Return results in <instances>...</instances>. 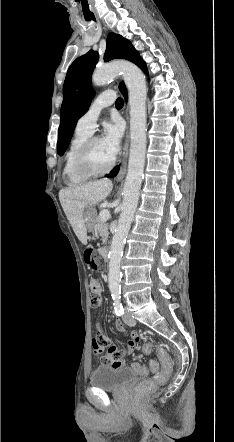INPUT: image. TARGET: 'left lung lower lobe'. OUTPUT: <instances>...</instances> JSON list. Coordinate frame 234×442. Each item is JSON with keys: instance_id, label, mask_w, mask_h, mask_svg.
<instances>
[{"instance_id": "1", "label": "left lung lower lobe", "mask_w": 234, "mask_h": 442, "mask_svg": "<svg viewBox=\"0 0 234 442\" xmlns=\"http://www.w3.org/2000/svg\"><path fill=\"white\" fill-rule=\"evenodd\" d=\"M145 73H147V68H146V64L145 62H143L140 66H139ZM121 93L124 95L125 98H127V92H126V88L124 87V85L120 88ZM119 171V166L115 167L113 169V171L107 176L108 178L111 177H115L117 175Z\"/></svg>"}]
</instances>
